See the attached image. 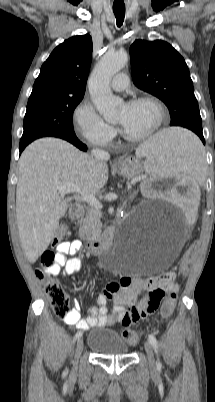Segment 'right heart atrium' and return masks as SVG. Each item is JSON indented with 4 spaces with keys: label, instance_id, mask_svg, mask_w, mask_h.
Segmentation results:
<instances>
[{
    "label": "right heart atrium",
    "instance_id": "obj_1",
    "mask_svg": "<svg viewBox=\"0 0 215 402\" xmlns=\"http://www.w3.org/2000/svg\"><path fill=\"white\" fill-rule=\"evenodd\" d=\"M73 117L78 136L87 143L105 147L114 140L116 136L115 128L99 115L88 100H83L79 103Z\"/></svg>",
    "mask_w": 215,
    "mask_h": 402
}]
</instances>
